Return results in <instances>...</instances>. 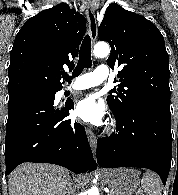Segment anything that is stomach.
Instances as JSON below:
<instances>
[{"instance_id": "obj_1", "label": "stomach", "mask_w": 178, "mask_h": 195, "mask_svg": "<svg viewBox=\"0 0 178 195\" xmlns=\"http://www.w3.org/2000/svg\"><path fill=\"white\" fill-rule=\"evenodd\" d=\"M104 178L112 195H133L139 185L138 176L127 168L105 170Z\"/></svg>"}]
</instances>
